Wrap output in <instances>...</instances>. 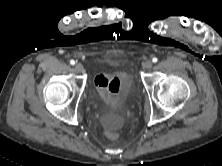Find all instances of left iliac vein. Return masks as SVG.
Masks as SVG:
<instances>
[{"label":"left iliac vein","mask_w":222,"mask_h":166,"mask_svg":"<svg viewBox=\"0 0 222 166\" xmlns=\"http://www.w3.org/2000/svg\"><path fill=\"white\" fill-rule=\"evenodd\" d=\"M152 65H153V63H152L151 60H147V61H145V62L143 63V67H144L145 69H150V68L152 67Z\"/></svg>","instance_id":"1"}]
</instances>
